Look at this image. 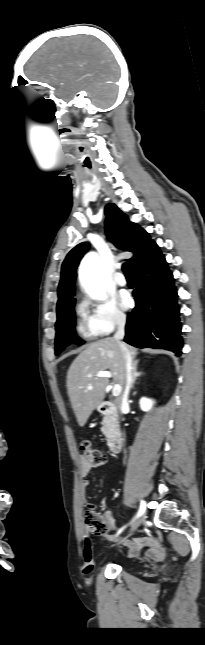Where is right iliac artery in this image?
Here are the masks:
<instances>
[{
	"mask_svg": "<svg viewBox=\"0 0 205 645\" xmlns=\"http://www.w3.org/2000/svg\"><path fill=\"white\" fill-rule=\"evenodd\" d=\"M145 508H146V504H145V502H144V501H141V503H140V509H139V511H138V515H137L138 517H139V516H141V515L144 513ZM122 530H123V528H122V529H120V530L118 531V533H117V534H120Z\"/></svg>",
	"mask_w": 205,
	"mask_h": 645,
	"instance_id": "1",
	"label": "right iliac artery"
}]
</instances>
